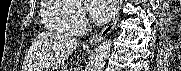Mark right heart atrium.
<instances>
[{
  "instance_id": "right-heart-atrium-1",
  "label": "right heart atrium",
  "mask_w": 181,
  "mask_h": 71,
  "mask_svg": "<svg viewBox=\"0 0 181 71\" xmlns=\"http://www.w3.org/2000/svg\"><path fill=\"white\" fill-rule=\"evenodd\" d=\"M67 2L73 5V9L69 14V22L73 31L76 34L84 32L90 25L84 9L80 6L79 1L67 0Z\"/></svg>"
}]
</instances>
